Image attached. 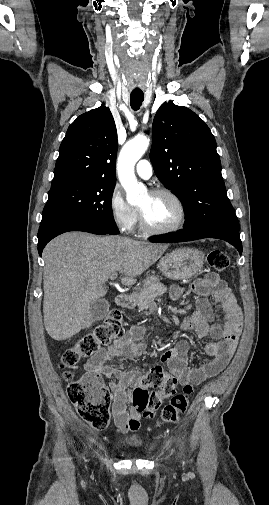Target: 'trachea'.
I'll return each mask as SVG.
<instances>
[{
    "instance_id": "3493384b",
    "label": "trachea",
    "mask_w": 269,
    "mask_h": 505,
    "mask_svg": "<svg viewBox=\"0 0 269 505\" xmlns=\"http://www.w3.org/2000/svg\"><path fill=\"white\" fill-rule=\"evenodd\" d=\"M130 104L133 110H138L144 100V93L142 91H132L130 95Z\"/></svg>"
}]
</instances>
